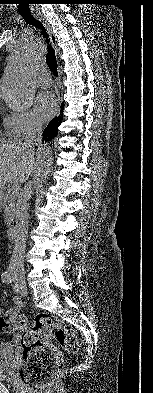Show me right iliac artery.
<instances>
[{
    "label": "right iliac artery",
    "instance_id": "1",
    "mask_svg": "<svg viewBox=\"0 0 153 393\" xmlns=\"http://www.w3.org/2000/svg\"><path fill=\"white\" fill-rule=\"evenodd\" d=\"M1 279H2L3 283H7L8 284V283H11L12 276H11L10 272L5 271V272L2 273Z\"/></svg>",
    "mask_w": 153,
    "mask_h": 393
}]
</instances>
